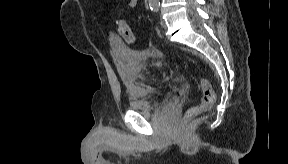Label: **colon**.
<instances>
[{"instance_id": "1", "label": "colon", "mask_w": 288, "mask_h": 164, "mask_svg": "<svg viewBox=\"0 0 288 164\" xmlns=\"http://www.w3.org/2000/svg\"><path fill=\"white\" fill-rule=\"evenodd\" d=\"M117 25H118V32L123 37V39L128 43L133 42L134 40L133 34L128 24L124 20H119L117 22ZM199 89L201 92L200 103L197 106L190 109V111L188 112L189 117H195L202 111H207L211 109L214 105L215 93L210 82L205 78L200 79Z\"/></svg>"}]
</instances>
